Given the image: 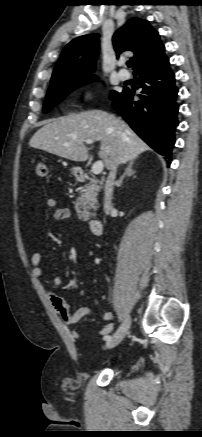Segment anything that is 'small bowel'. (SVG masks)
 Returning <instances> with one entry per match:
<instances>
[{"label":"small bowel","mask_w":202,"mask_h":437,"mask_svg":"<svg viewBox=\"0 0 202 437\" xmlns=\"http://www.w3.org/2000/svg\"><path fill=\"white\" fill-rule=\"evenodd\" d=\"M46 205L49 208H55L53 216L57 221L65 220L72 216V212L69 208L57 207V200L55 198H48L46 200ZM42 259L43 255L40 252L32 250V274L36 278H42L44 275L42 269ZM62 282V278L58 275L53 278L54 286H61ZM48 299L54 311L69 327L76 326L81 319L90 317L92 314V310L89 307H81L75 311H72L65 300L53 291H48ZM102 318L105 322V325L100 329L99 334L105 337L113 330V314L111 312H105ZM71 335L74 338H78L80 336V332L78 330H72Z\"/></svg>","instance_id":"c3829d8e"}]
</instances>
